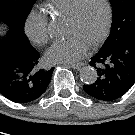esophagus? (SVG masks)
<instances>
[{"mask_svg":"<svg viewBox=\"0 0 135 135\" xmlns=\"http://www.w3.org/2000/svg\"><path fill=\"white\" fill-rule=\"evenodd\" d=\"M83 64H65V66L72 68V69H80L82 67Z\"/></svg>","mask_w":135,"mask_h":135,"instance_id":"obj_1","label":"esophagus"}]
</instances>
